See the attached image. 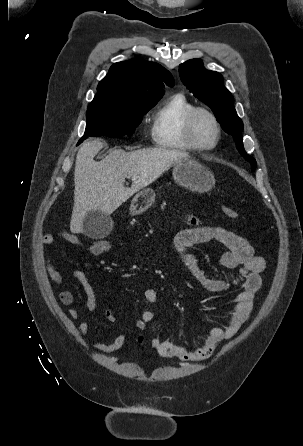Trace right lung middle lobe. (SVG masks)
I'll list each match as a JSON object with an SVG mask.
<instances>
[{
  "label": "right lung middle lobe",
  "mask_w": 303,
  "mask_h": 446,
  "mask_svg": "<svg viewBox=\"0 0 303 446\" xmlns=\"http://www.w3.org/2000/svg\"><path fill=\"white\" fill-rule=\"evenodd\" d=\"M155 106V105H154ZM151 107L120 108V107H93L87 109V124L85 135L80 144L88 136L117 137L131 135L141 123L142 116Z\"/></svg>",
  "instance_id": "right-lung-middle-lobe-1"
}]
</instances>
